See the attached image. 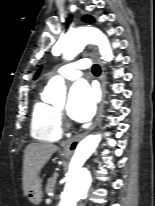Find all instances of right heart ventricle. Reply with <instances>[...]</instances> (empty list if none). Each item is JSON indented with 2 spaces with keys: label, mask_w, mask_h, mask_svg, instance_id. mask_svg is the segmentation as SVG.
<instances>
[{
  "label": "right heart ventricle",
  "mask_w": 155,
  "mask_h": 206,
  "mask_svg": "<svg viewBox=\"0 0 155 206\" xmlns=\"http://www.w3.org/2000/svg\"><path fill=\"white\" fill-rule=\"evenodd\" d=\"M31 134L40 141L55 142L62 134L57 109L43 99H37L31 113Z\"/></svg>",
  "instance_id": "e07e8e85"
}]
</instances>
